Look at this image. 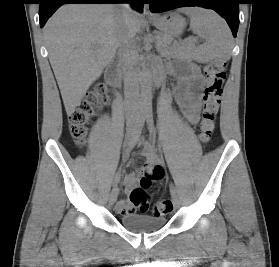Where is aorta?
Here are the masks:
<instances>
[{"mask_svg": "<svg viewBox=\"0 0 279 267\" xmlns=\"http://www.w3.org/2000/svg\"><path fill=\"white\" fill-rule=\"evenodd\" d=\"M152 100V79L149 71L143 74L141 82V105L145 110L150 109Z\"/></svg>", "mask_w": 279, "mask_h": 267, "instance_id": "1", "label": "aorta"}]
</instances>
